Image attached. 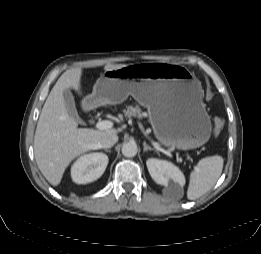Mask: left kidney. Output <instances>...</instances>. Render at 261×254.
Wrapping results in <instances>:
<instances>
[{
  "label": "left kidney",
  "mask_w": 261,
  "mask_h": 254,
  "mask_svg": "<svg viewBox=\"0 0 261 254\" xmlns=\"http://www.w3.org/2000/svg\"><path fill=\"white\" fill-rule=\"evenodd\" d=\"M146 165L149 174L157 184L163 186L178 184L180 187L185 185L183 172L173 163L156 158H150L146 161Z\"/></svg>",
  "instance_id": "left-kidney-1"
}]
</instances>
